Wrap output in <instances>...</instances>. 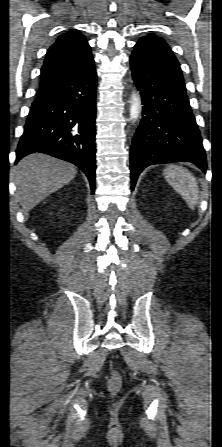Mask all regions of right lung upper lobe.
Here are the masks:
<instances>
[{"mask_svg":"<svg viewBox=\"0 0 222 447\" xmlns=\"http://www.w3.org/2000/svg\"><path fill=\"white\" fill-rule=\"evenodd\" d=\"M92 58L90 46L78 30L70 29L59 36L46 53L38 96L70 79Z\"/></svg>","mask_w":222,"mask_h":447,"instance_id":"obj_1","label":"right lung upper lobe"}]
</instances>
